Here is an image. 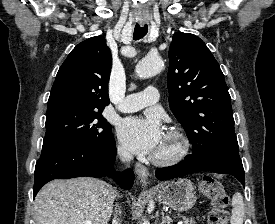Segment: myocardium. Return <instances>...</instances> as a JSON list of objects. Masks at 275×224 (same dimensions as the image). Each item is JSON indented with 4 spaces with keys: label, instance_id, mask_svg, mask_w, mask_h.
<instances>
[{
    "label": "myocardium",
    "instance_id": "1",
    "mask_svg": "<svg viewBox=\"0 0 275 224\" xmlns=\"http://www.w3.org/2000/svg\"><path fill=\"white\" fill-rule=\"evenodd\" d=\"M166 146L160 152L155 153L151 159L158 165H169L180 161L188 152L190 143L184 132L178 128H172L165 134Z\"/></svg>",
    "mask_w": 275,
    "mask_h": 224
}]
</instances>
